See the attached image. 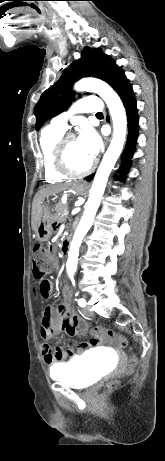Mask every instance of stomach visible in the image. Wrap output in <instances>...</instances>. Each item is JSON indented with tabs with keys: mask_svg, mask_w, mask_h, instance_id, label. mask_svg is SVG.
Returning a JSON list of instances; mask_svg holds the SVG:
<instances>
[{
	"mask_svg": "<svg viewBox=\"0 0 165 461\" xmlns=\"http://www.w3.org/2000/svg\"><path fill=\"white\" fill-rule=\"evenodd\" d=\"M73 190L77 194H83L86 190V187L83 183H76L73 187ZM52 224L53 222L50 210L47 206H43L41 212V219L39 225L37 226V229L35 230L36 238L39 241L44 242L50 239L53 231Z\"/></svg>",
	"mask_w": 165,
	"mask_h": 461,
	"instance_id": "obj_1",
	"label": "stomach"
}]
</instances>
